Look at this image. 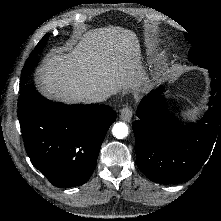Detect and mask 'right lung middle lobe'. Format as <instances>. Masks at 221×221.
<instances>
[{
	"label": "right lung middle lobe",
	"mask_w": 221,
	"mask_h": 221,
	"mask_svg": "<svg viewBox=\"0 0 221 221\" xmlns=\"http://www.w3.org/2000/svg\"><path fill=\"white\" fill-rule=\"evenodd\" d=\"M49 38V34H46L41 41L37 44L35 49L30 54L29 58L26 60L25 66L21 72V83L25 85L29 79L30 74L33 71V68L37 65L38 54L41 52L45 46L46 41Z\"/></svg>",
	"instance_id": "1"
}]
</instances>
